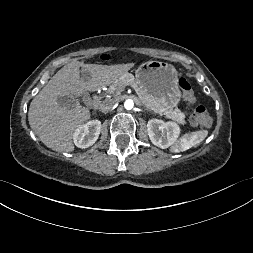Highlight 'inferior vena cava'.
<instances>
[{"instance_id":"1","label":"inferior vena cava","mask_w":253,"mask_h":253,"mask_svg":"<svg viewBox=\"0 0 253 253\" xmlns=\"http://www.w3.org/2000/svg\"><path fill=\"white\" fill-rule=\"evenodd\" d=\"M115 104H116L115 99H106L100 104L99 109L101 112L107 113L114 107Z\"/></svg>"}]
</instances>
